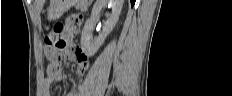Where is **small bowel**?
I'll use <instances>...</instances> for the list:
<instances>
[{"label": "small bowel", "instance_id": "1", "mask_svg": "<svg viewBox=\"0 0 232 96\" xmlns=\"http://www.w3.org/2000/svg\"><path fill=\"white\" fill-rule=\"evenodd\" d=\"M83 14L82 11L80 13L79 11H69V15H66V20H70L65 27L66 43H76L77 40L75 35H81L80 24H82V20H84ZM65 55L66 58L70 57L76 61L77 69L80 73H84L89 66L86 62V56L81 49H72L71 51H67ZM62 76L60 70L52 72L50 66L43 80L42 93L44 95H49L51 85L55 82H59L62 79ZM68 95L77 96V92L76 90L71 89Z\"/></svg>", "mask_w": 232, "mask_h": 96}]
</instances>
